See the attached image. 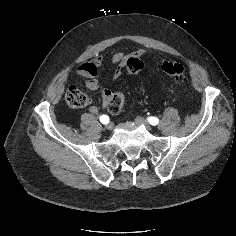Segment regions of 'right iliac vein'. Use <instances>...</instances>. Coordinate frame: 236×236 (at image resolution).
Here are the masks:
<instances>
[{
  "mask_svg": "<svg viewBox=\"0 0 236 236\" xmlns=\"http://www.w3.org/2000/svg\"><path fill=\"white\" fill-rule=\"evenodd\" d=\"M105 129L108 130V131H111L113 129V124L112 123H107L105 125Z\"/></svg>",
  "mask_w": 236,
  "mask_h": 236,
  "instance_id": "right-iliac-vein-1",
  "label": "right iliac vein"
}]
</instances>
